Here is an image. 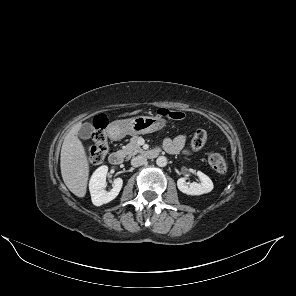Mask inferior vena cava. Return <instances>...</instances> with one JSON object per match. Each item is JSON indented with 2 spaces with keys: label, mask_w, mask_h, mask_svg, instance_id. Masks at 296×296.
Instances as JSON below:
<instances>
[{
  "label": "inferior vena cava",
  "mask_w": 296,
  "mask_h": 296,
  "mask_svg": "<svg viewBox=\"0 0 296 296\" xmlns=\"http://www.w3.org/2000/svg\"><path fill=\"white\" fill-rule=\"evenodd\" d=\"M147 159L143 155H137L131 159V165L134 167H139L141 165L146 164Z\"/></svg>",
  "instance_id": "602c4592"
}]
</instances>
